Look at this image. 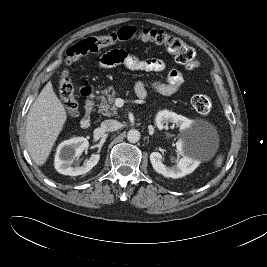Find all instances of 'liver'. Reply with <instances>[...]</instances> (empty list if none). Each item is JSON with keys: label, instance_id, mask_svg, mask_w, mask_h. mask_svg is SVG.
Masks as SVG:
<instances>
[{"label": "liver", "instance_id": "1", "mask_svg": "<svg viewBox=\"0 0 267 267\" xmlns=\"http://www.w3.org/2000/svg\"><path fill=\"white\" fill-rule=\"evenodd\" d=\"M66 120V110L49 81L27 115L25 131L27 148L37 165L42 166L47 161Z\"/></svg>", "mask_w": 267, "mask_h": 267}]
</instances>
